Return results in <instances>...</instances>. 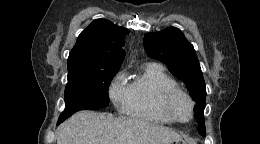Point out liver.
Segmentation results:
<instances>
[{"label": "liver", "instance_id": "liver-1", "mask_svg": "<svg viewBox=\"0 0 260 144\" xmlns=\"http://www.w3.org/2000/svg\"><path fill=\"white\" fill-rule=\"evenodd\" d=\"M181 140L175 131L142 119L81 111L61 126L57 144H171Z\"/></svg>", "mask_w": 260, "mask_h": 144}]
</instances>
